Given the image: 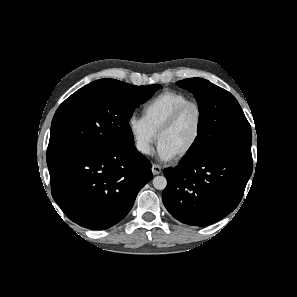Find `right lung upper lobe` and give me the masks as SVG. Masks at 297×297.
<instances>
[{"label":"right lung upper lobe","mask_w":297,"mask_h":297,"mask_svg":"<svg viewBox=\"0 0 297 297\" xmlns=\"http://www.w3.org/2000/svg\"><path fill=\"white\" fill-rule=\"evenodd\" d=\"M100 80H103V79H100ZM100 80L93 81V82H92V83H90L89 85H95V84H97V83H98V81H100Z\"/></svg>","instance_id":"right-lung-upper-lobe-1"}]
</instances>
